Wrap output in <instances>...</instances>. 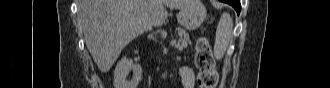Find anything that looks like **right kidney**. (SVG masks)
Listing matches in <instances>:
<instances>
[{"instance_id": "1", "label": "right kidney", "mask_w": 330, "mask_h": 88, "mask_svg": "<svg viewBox=\"0 0 330 88\" xmlns=\"http://www.w3.org/2000/svg\"><path fill=\"white\" fill-rule=\"evenodd\" d=\"M133 71V78L128 81V74ZM142 77V68L139 64H132L123 57L116 65L114 71V88H136Z\"/></svg>"}]
</instances>
